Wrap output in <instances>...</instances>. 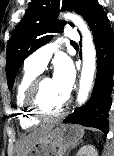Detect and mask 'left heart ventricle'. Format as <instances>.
Returning <instances> with one entry per match:
<instances>
[{
	"label": "left heart ventricle",
	"instance_id": "b2bd125f",
	"mask_svg": "<svg viewBox=\"0 0 114 156\" xmlns=\"http://www.w3.org/2000/svg\"><path fill=\"white\" fill-rule=\"evenodd\" d=\"M66 99L67 98L59 93L51 78H47L43 81L40 102L45 111L49 113L58 111L63 106Z\"/></svg>",
	"mask_w": 114,
	"mask_h": 156
}]
</instances>
